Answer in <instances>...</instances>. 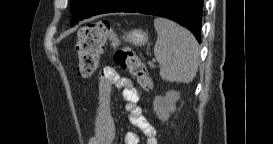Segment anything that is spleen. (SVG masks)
<instances>
[{"mask_svg":"<svg viewBox=\"0 0 273 144\" xmlns=\"http://www.w3.org/2000/svg\"><path fill=\"white\" fill-rule=\"evenodd\" d=\"M157 40L154 55L160 76L168 82L190 83L198 69V44L187 29L165 18H155Z\"/></svg>","mask_w":273,"mask_h":144,"instance_id":"1","label":"spleen"}]
</instances>
